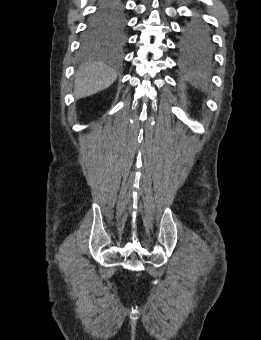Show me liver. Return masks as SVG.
I'll return each mask as SVG.
<instances>
[{
  "label": "liver",
  "mask_w": 261,
  "mask_h": 340,
  "mask_svg": "<svg viewBox=\"0 0 261 340\" xmlns=\"http://www.w3.org/2000/svg\"><path fill=\"white\" fill-rule=\"evenodd\" d=\"M117 78V73L103 63H88L77 71L75 95L84 98L108 88Z\"/></svg>",
  "instance_id": "obj_1"
}]
</instances>
